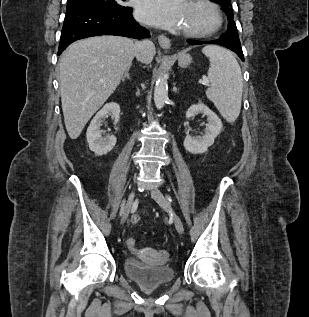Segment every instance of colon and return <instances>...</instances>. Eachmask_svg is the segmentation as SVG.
Masks as SVG:
<instances>
[{
  "label": "colon",
  "instance_id": "obj_1",
  "mask_svg": "<svg viewBox=\"0 0 309 317\" xmlns=\"http://www.w3.org/2000/svg\"><path fill=\"white\" fill-rule=\"evenodd\" d=\"M140 221V216L137 215V214H134L131 218V222L132 224H138ZM126 244L129 248H135L136 246V241L134 238H128L127 241H126ZM162 256L163 257H166V253L165 252H162Z\"/></svg>",
  "mask_w": 309,
  "mask_h": 317
}]
</instances>
